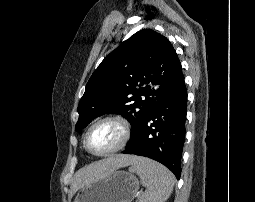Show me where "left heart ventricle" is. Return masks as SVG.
Segmentation results:
<instances>
[{"instance_id": "b2bd125f", "label": "left heart ventricle", "mask_w": 255, "mask_h": 202, "mask_svg": "<svg viewBox=\"0 0 255 202\" xmlns=\"http://www.w3.org/2000/svg\"><path fill=\"white\" fill-rule=\"evenodd\" d=\"M121 131L114 123H104L92 130L88 145L94 152H106L114 148L120 141Z\"/></svg>"}]
</instances>
